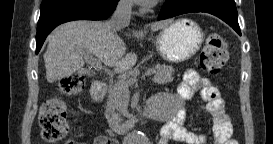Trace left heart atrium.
Here are the masks:
<instances>
[{
  "mask_svg": "<svg viewBox=\"0 0 273 144\" xmlns=\"http://www.w3.org/2000/svg\"><path fill=\"white\" fill-rule=\"evenodd\" d=\"M139 4L144 6H153L156 4L157 0H136Z\"/></svg>",
  "mask_w": 273,
  "mask_h": 144,
  "instance_id": "1",
  "label": "left heart atrium"
}]
</instances>
